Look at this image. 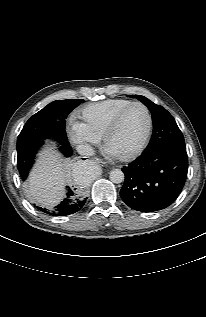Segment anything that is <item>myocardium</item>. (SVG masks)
Here are the masks:
<instances>
[{
    "label": "myocardium",
    "mask_w": 206,
    "mask_h": 317,
    "mask_svg": "<svg viewBox=\"0 0 206 317\" xmlns=\"http://www.w3.org/2000/svg\"><path fill=\"white\" fill-rule=\"evenodd\" d=\"M135 106H140L144 109L145 113H146V117H147V128H146V132L144 135V138L141 142V144L134 150L124 153V154H117L112 152L109 149L108 146V142L109 139L111 137V135L116 131V129L118 128L119 124L121 123L123 117L125 116V114L132 108ZM152 128H153V120H152V115L150 112V109L142 102H132L129 105H127L126 107H124L123 109H121L111 120V122L109 123L108 127L106 128L103 136H102V142H103V146L105 148L106 151H108L109 153H111L114 157H116L117 159L120 160H130L133 159L137 156H139L147 147V145L149 144L150 141V137L152 134Z\"/></svg>",
    "instance_id": "1"
}]
</instances>
